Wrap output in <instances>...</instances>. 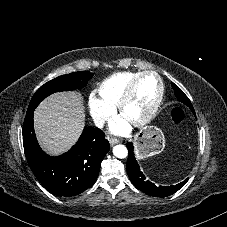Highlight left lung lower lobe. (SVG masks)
Returning a JSON list of instances; mask_svg holds the SVG:
<instances>
[{
	"label": "left lung lower lobe",
	"instance_id": "obj_1",
	"mask_svg": "<svg viewBox=\"0 0 227 227\" xmlns=\"http://www.w3.org/2000/svg\"><path fill=\"white\" fill-rule=\"evenodd\" d=\"M194 113V110H192ZM128 148V160H127V173L134 184V186L141 190L142 192L155 197H166L177 192L186 182L185 181L173 185V186H156L146 179L145 175L141 172L140 167L135 159L133 152V144L131 142L127 143Z\"/></svg>",
	"mask_w": 227,
	"mask_h": 227
}]
</instances>
